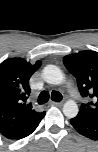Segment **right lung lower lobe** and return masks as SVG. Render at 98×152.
Here are the masks:
<instances>
[{
    "label": "right lung lower lobe",
    "mask_w": 98,
    "mask_h": 152,
    "mask_svg": "<svg viewBox=\"0 0 98 152\" xmlns=\"http://www.w3.org/2000/svg\"><path fill=\"white\" fill-rule=\"evenodd\" d=\"M45 116V112L39 116L38 118H36L31 124H29L27 127H25L24 129H22L21 131H19L18 133L14 134L11 137H7L9 139H22L28 135H30L39 125L40 121L42 120V118Z\"/></svg>",
    "instance_id": "obj_1"
}]
</instances>
